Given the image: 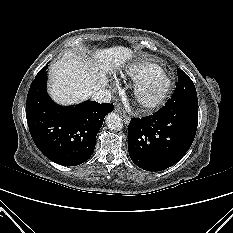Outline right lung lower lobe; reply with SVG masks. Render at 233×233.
<instances>
[{
	"label": "right lung lower lobe",
	"instance_id": "1",
	"mask_svg": "<svg viewBox=\"0 0 233 233\" xmlns=\"http://www.w3.org/2000/svg\"><path fill=\"white\" fill-rule=\"evenodd\" d=\"M47 66L32 81L26 101V118L31 137L51 161L79 165L92 155L96 135L104 117L114 106L85 101L63 107L54 103L46 91Z\"/></svg>",
	"mask_w": 233,
	"mask_h": 233
}]
</instances>
